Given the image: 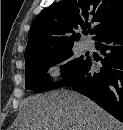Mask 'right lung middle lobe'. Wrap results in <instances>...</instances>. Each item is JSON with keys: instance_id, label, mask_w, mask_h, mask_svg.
I'll list each match as a JSON object with an SVG mask.
<instances>
[{"instance_id": "right-lung-middle-lobe-1", "label": "right lung middle lobe", "mask_w": 123, "mask_h": 130, "mask_svg": "<svg viewBox=\"0 0 123 130\" xmlns=\"http://www.w3.org/2000/svg\"><path fill=\"white\" fill-rule=\"evenodd\" d=\"M72 47L45 54H38L25 59V80L26 90H33L37 93L55 89L76 74L86 63L87 59L83 57L68 60L62 67L64 68V79L61 82L54 83L45 75L48 68L55 63L69 59L73 53Z\"/></svg>"}]
</instances>
